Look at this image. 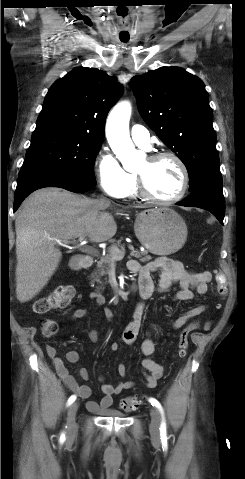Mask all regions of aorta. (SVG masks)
<instances>
[{"instance_id": "1", "label": "aorta", "mask_w": 245, "mask_h": 479, "mask_svg": "<svg viewBox=\"0 0 245 479\" xmlns=\"http://www.w3.org/2000/svg\"><path fill=\"white\" fill-rule=\"evenodd\" d=\"M130 116L131 104L123 101L112 109L106 123L108 143L127 171L133 170L140 160L129 135Z\"/></svg>"}]
</instances>
